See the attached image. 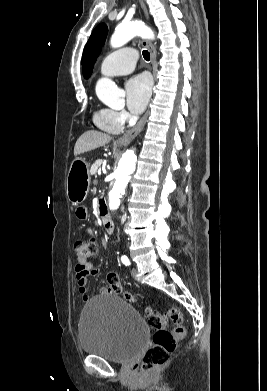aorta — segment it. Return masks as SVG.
<instances>
[{"mask_svg": "<svg viewBox=\"0 0 267 391\" xmlns=\"http://www.w3.org/2000/svg\"><path fill=\"white\" fill-rule=\"evenodd\" d=\"M135 36L143 38H154L152 30L146 27L140 21H132L129 23L119 24L110 39L112 48H119L126 44ZM97 97L105 104L114 106L123 103L124 93L110 79L102 78L96 84ZM136 155L134 150H127L118 162L115 170V181L109 192L108 201L109 208L116 210L121 204L122 197L128 185L131 175L136 166Z\"/></svg>", "mask_w": 267, "mask_h": 391, "instance_id": "1", "label": "aorta"}]
</instances>
